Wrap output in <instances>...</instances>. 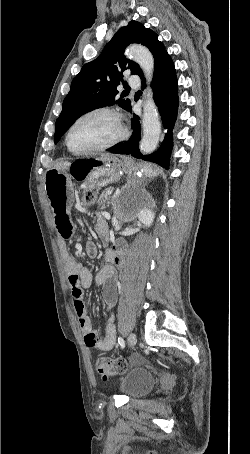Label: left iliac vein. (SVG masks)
<instances>
[{
	"mask_svg": "<svg viewBox=\"0 0 250 454\" xmlns=\"http://www.w3.org/2000/svg\"><path fill=\"white\" fill-rule=\"evenodd\" d=\"M137 343V337L135 335V333H130L129 337H128V344H129V347L130 348H133Z\"/></svg>",
	"mask_w": 250,
	"mask_h": 454,
	"instance_id": "4c4485c4",
	"label": "left iliac vein"
}]
</instances>
